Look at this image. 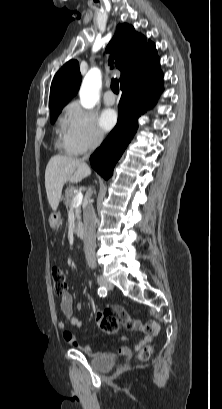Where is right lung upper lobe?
I'll use <instances>...</instances> for the list:
<instances>
[{
  "mask_svg": "<svg viewBox=\"0 0 222 409\" xmlns=\"http://www.w3.org/2000/svg\"><path fill=\"white\" fill-rule=\"evenodd\" d=\"M106 50L115 58L116 67L121 71V86L134 78L160 70L155 44L133 26L123 23ZM81 83L79 63L68 61L55 75L50 90V111L63 108L77 93Z\"/></svg>",
  "mask_w": 222,
  "mask_h": 409,
  "instance_id": "1",
  "label": "right lung upper lobe"
}]
</instances>
